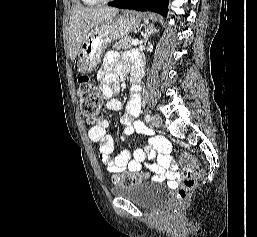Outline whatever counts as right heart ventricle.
Segmentation results:
<instances>
[{
    "label": "right heart ventricle",
    "mask_w": 257,
    "mask_h": 237,
    "mask_svg": "<svg viewBox=\"0 0 257 237\" xmlns=\"http://www.w3.org/2000/svg\"><path fill=\"white\" fill-rule=\"evenodd\" d=\"M82 2L85 5H88V6H94V5H97L99 3L98 0H82Z\"/></svg>",
    "instance_id": "obj_1"
}]
</instances>
